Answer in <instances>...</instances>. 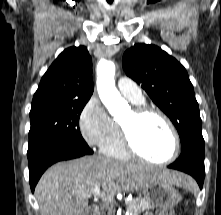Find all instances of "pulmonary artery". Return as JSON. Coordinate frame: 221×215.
<instances>
[{
	"label": "pulmonary artery",
	"instance_id": "pulmonary-artery-1",
	"mask_svg": "<svg viewBox=\"0 0 221 215\" xmlns=\"http://www.w3.org/2000/svg\"><path fill=\"white\" fill-rule=\"evenodd\" d=\"M120 93L132 102H142L144 100L140 88L129 78L122 77L118 80Z\"/></svg>",
	"mask_w": 221,
	"mask_h": 215
}]
</instances>
